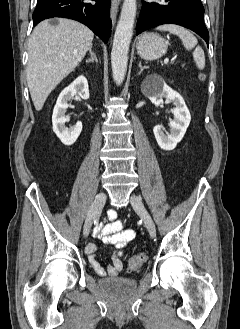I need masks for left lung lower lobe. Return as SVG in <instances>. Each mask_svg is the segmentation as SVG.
Returning a JSON list of instances; mask_svg holds the SVG:
<instances>
[{"label": "left lung lower lobe", "instance_id": "1", "mask_svg": "<svg viewBox=\"0 0 240 329\" xmlns=\"http://www.w3.org/2000/svg\"><path fill=\"white\" fill-rule=\"evenodd\" d=\"M142 2L136 34L163 24H177L193 30L209 43L204 24V7L200 0H160Z\"/></svg>", "mask_w": 240, "mask_h": 329}]
</instances>
